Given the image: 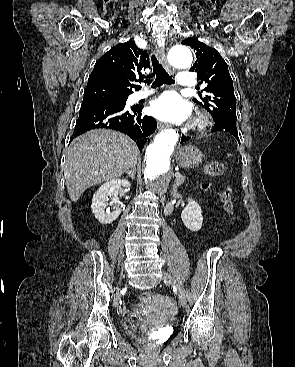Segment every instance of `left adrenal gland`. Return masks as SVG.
<instances>
[{
  "label": "left adrenal gland",
  "mask_w": 295,
  "mask_h": 367,
  "mask_svg": "<svg viewBox=\"0 0 295 367\" xmlns=\"http://www.w3.org/2000/svg\"><path fill=\"white\" fill-rule=\"evenodd\" d=\"M172 189H173V191H175V192H176V190H177V185H176V184H174Z\"/></svg>",
  "instance_id": "left-adrenal-gland-1"
}]
</instances>
